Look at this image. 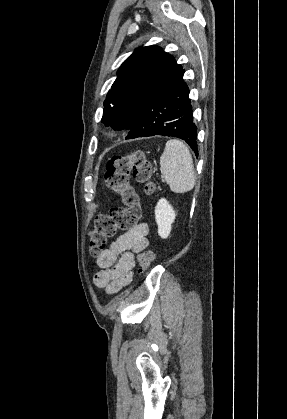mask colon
Masks as SVG:
<instances>
[{
	"instance_id": "colon-1",
	"label": "colon",
	"mask_w": 287,
	"mask_h": 419,
	"mask_svg": "<svg viewBox=\"0 0 287 419\" xmlns=\"http://www.w3.org/2000/svg\"><path fill=\"white\" fill-rule=\"evenodd\" d=\"M130 174L144 184L148 194L156 191V185L151 181L152 166L142 151L109 160L105 173L106 183L110 190L121 197L124 206L96 217L94 229L90 233V253L93 256H99L107 249L108 240L115 236L118 230H129L136 226L140 219V199L130 185ZM153 259L151 251L141 253L138 256L140 270L148 269Z\"/></svg>"
}]
</instances>
